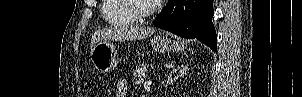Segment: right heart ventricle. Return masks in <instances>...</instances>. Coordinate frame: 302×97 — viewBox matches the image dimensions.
<instances>
[{"mask_svg":"<svg viewBox=\"0 0 302 97\" xmlns=\"http://www.w3.org/2000/svg\"><path fill=\"white\" fill-rule=\"evenodd\" d=\"M101 12L105 21L112 26L136 23V19L125 8V0H103Z\"/></svg>","mask_w":302,"mask_h":97,"instance_id":"obj_1","label":"right heart ventricle"}]
</instances>
